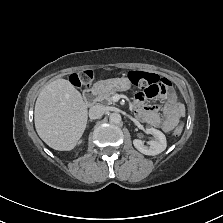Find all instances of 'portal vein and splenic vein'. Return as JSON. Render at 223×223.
Instances as JSON below:
<instances>
[{"label": "portal vein and splenic vein", "instance_id": "1", "mask_svg": "<svg viewBox=\"0 0 223 223\" xmlns=\"http://www.w3.org/2000/svg\"><path fill=\"white\" fill-rule=\"evenodd\" d=\"M121 96L119 94H115L113 97H112V100L113 102H118L120 100Z\"/></svg>", "mask_w": 223, "mask_h": 223}]
</instances>
